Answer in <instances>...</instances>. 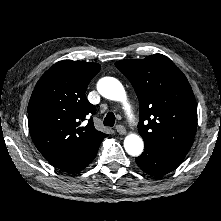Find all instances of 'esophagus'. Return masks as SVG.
Instances as JSON below:
<instances>
[{
	"label": "esophagus",
	"instance_id": "34e87169",
	"mask_svg": "<svg viewBox=\"0 0 221 221\" xmlns=\"http://www.w3.org/2000/svg\"><path fill=\"white\" fill-rule=\"evenodd\" d=\"M116 131L120 134V135H125L126 134V129L123 125H117L116 126Z\"/></svg>",
	"mask_w": 221,
	"mask_h": 221
}]
</instances>
